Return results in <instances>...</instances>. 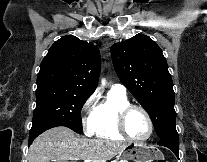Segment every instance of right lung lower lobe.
I'll list each match as a JSON object with an SVG mask.
<instances>
[{"label":"right lung lower lobe","mask_w":207,"mask_h":162,"mask_svg":"<svg viewBox=\"0 0 207 162\" xmlns=\"http://www.w3.org/2000/svg\"><path fill=\"white\" fill-rule=\"evenodd\" d=\"M57 126L58 125L46 123V124H40L35 127H32L29 134V145L38 135H40L41 133H43L44 131L50 128L57 127Z\"/></svg>","instance_id":"obj_1"}]
</instances>
